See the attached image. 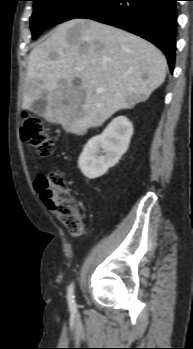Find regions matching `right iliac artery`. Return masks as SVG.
I'll list each match as a JSON object with an SVG mask.
<instances>
[{
  "mask_svg": "<svg viewBox=\"0 0 193 349\" xmlns=\"http://www.w3.org/2000/svg\"><path fill=\"white\" fill-rule=\"evenodd\" d=\"M74 284H70V286L68 287V293H67V299H68V304H69V308L72 312L76 311V303H75V299H74Z\"/></svg>",
  "mask_w": 193,
  "mask_h": 349,
  "instance_id": "obj_1",
  "label": "right iliac artery"
}]
</instances>
